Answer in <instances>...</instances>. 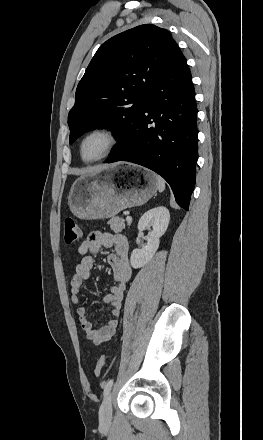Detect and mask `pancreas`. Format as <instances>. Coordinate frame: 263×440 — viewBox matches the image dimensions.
<instances>
[{
    "label": "pancreas",
    "instance_id": "1",
    "mask_svg": "<svg viewBox=\"0 0 263 440\" xmlns=\"http://www.w3.org/2000/svg\"><path fill=\"white\" fill-rule=\"evenodd\" d=\"M108 224L110 225L111 230L115 233H120L125 228V220L122 217H113L108 221Z\"/></svg>",
    "mask_w": 263,
    "mask_h": 440
}]
</instances>
